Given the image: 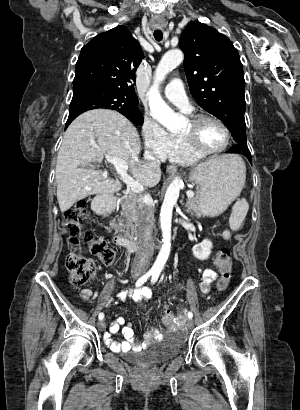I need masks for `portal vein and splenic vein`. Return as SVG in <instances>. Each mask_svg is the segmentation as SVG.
<instances>
[{"mask_svg":"<svg viewBox=\"0 0 300 410\" xmlns=\"http://www.w3.org/2000/svg\"><path fill=\"white\" fill-rule=\"evenodd\" d=\"M105 158L109 163L115 166L117 173L121 177V180L127 185L128 188L136 193H142L144 191V187L127 174L128 165L125 161L111 157L109 155H105ZM186 195L188 198H193L194 192L192 190H188L186 192Z\"/></svg>","mask_w":300,"mask_h":410,"instance_id":"1","label":"portal vein and splenic vein"}]
</instances>
